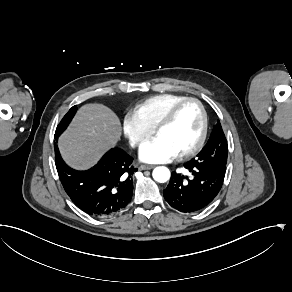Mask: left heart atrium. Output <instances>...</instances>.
<instances>
[{"label": "left heart atrium", "mask_w": 292, "mask_h": 292, "mask_svg": "<svg viewBox=\"0 0 292 292\" xmlns=\"http://www.w3.org/2000/svg\"><path fill=\"white\" fill-rule=\"evenodd\" d=\"M179 154V149L162 135L150 138L139 150L140 159L149 163L168 162Z\"/></svg>", "instance_id": "1"}]
</instances>
